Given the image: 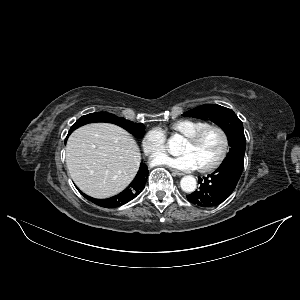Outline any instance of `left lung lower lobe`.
<instances>
[{
	"label": "left lung lower lobe",
	"mask_w": 300,
	"mask_h": 300,
	"mask_svg": "<svg viewBox=\"0 0 300 300\" xmlns=\"http://www.w3.org/2000/svg\"><path fill=\"white\" fill-rule=\"evenodd\" d=\"M243 167V156L228 155L212 174L198 178L199 189L187 195V199L200 207L217 206L234 191Z\"/></svg>",
	"instance_id": "obj_1"
}]
</instances>
